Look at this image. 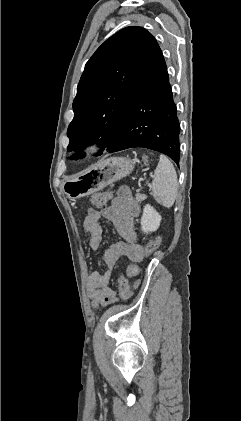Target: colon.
<instances>
[{"label":"colon","instance_id":"5ec220e1","mask_svg":"<svg viewBox=\"0 0 241 421\" xmlns=\"http://www.w3.org/2000/svg\"><path fill=\"white\" fill-rule=\"evenodd\" d=\"M112 198L111 192H101L94 194L91 197V204L95 207H102L106 205L108 201ZM161 245V238L159 236L151 239L145 247L144 256L148 257L152 255ZM126 272L129 276H137L139 274V266L137 261L130 260L127 265ZM118 292L121 298L127 299L131 297L133 293V288L129 285L128 280L124 276L118 278ZM137 286V283L135 284Z\"/></svg>","mask_w":241,"mask_h":421}]
</instances>
